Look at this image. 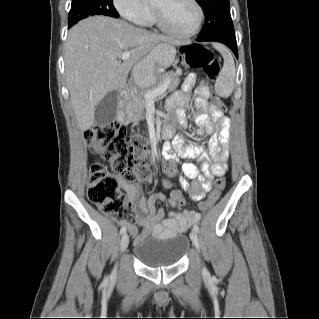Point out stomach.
I'll return each mask as SVG.
<instances>
[{
    "label": "stomach",
    "instance_id": "0dacf381",
    "mask_svg": "<svg viewBox=\"0 0 319 319\" xmlns=\"http://www.w3.org/2000/svg\"><path fill=\"white\" fill-rule=\"evenodd\" d=\"M176 48L169 43H160L152 51V58L147 63H139L133 70L134 77L141 87H151L157 77L155 70L159 67H169L175 57Z\"/></svg>",
    "mask_w": 319,
    "mask_h": 319
}]
</instances>
